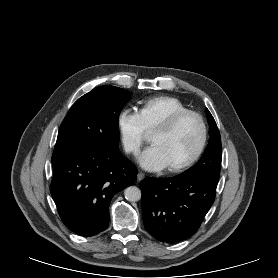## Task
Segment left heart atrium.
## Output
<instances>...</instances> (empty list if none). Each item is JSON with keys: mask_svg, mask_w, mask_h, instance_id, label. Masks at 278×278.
<instances>
[{"mask_svg": "<svg viewBox=\"0 0 278 278\" xmlns=\"http://www.w3.org/2000/svg\"><path fill=\"white\" fill-rule=\"evenodd\" d=\"M138 162L149 171H159L167 167L162 151L155 144L150 145L139 154Z\"/></svg>", "mask_w": 278, "mask_h": 278, "instance_id": "obj_1", "label": "left heart atrium"}]
</instances>
